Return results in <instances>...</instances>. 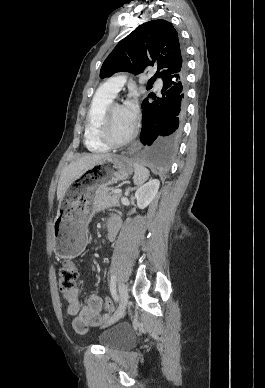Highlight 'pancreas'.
I'll return each mask as SVG.
<instances>
[{"instance_id": "cf45deb5", "label": "pancreas", "mask_w": 265, "mask_h": 388, "mask_svg": "<svg viewBox=\"0 0 265 388\" xmlns=\"http://www.w3.org/2000/svg\"><path fill=\"white\" fill-rule=\"evenodd\" d=\"M119 198H121V194H112V192H109V188L100 186L95 196L94 206L97 210H105V208H112V206H120Z\"/></svg>"}]
</instances>
